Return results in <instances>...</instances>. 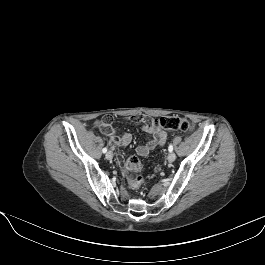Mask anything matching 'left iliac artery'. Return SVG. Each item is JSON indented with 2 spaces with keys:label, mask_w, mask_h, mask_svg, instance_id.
Instances as JSON below:
<instances>
[{
  "label": "left iliac artery",
  "mask_w": 265,
  "mask_h": 265,
  "mask_svg": "<svg viewBox=\"0 0 265 265\" xmlns=\"http://www.w3.org/2000/svg\"><path fill=\"white\" fill-rule=\"evenodd\" d=\"M168 150H169V152L173 151V145L172 144L169 145Z\"/></svg>",
  "instance_id": "obj_1"
}]
</instances>
